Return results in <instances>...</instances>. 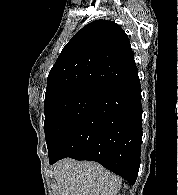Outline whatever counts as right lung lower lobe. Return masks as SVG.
<instances>
[{"label":"right lung lower lobe","instance_id":"obj_1","mask_svg":"<svg viewBox=\"0 0 178 195\" xmlns=\"http://www.w3.org/2000/svg\"><path fill=\"white\" fill-rule=\"evenodd\" d=\"M141 143V86L136 73L97 93L78 124L49 155V162L66 157L96 161L133 185Z\"/></svg>","mask_w":178,"mask_h":195}]
</instances>
